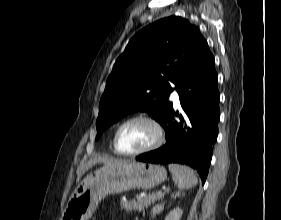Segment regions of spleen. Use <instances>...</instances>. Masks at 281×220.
Returning a JSON list of instances; mask_svg holds the SVG:
<instances>
[{"label": "spleen", "instance_id": "1", "mask_svg": "<svg viewBox=\"0 0 281 220\" xmlns=\"http://www.w3.org/2000/svg\"><path fill=\"white\" fill-rule=\"evenodd\" d=\"M169 171L180 190L189 189L198 183L196 174L188 166L171 163L169 164Z\"/></svg>", "mask_w": 281, "mask_h": 220}]
</instances>
